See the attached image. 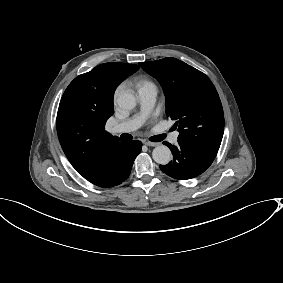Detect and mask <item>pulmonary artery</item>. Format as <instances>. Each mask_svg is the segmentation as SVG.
Returning a JSON list of instances; mask_svg holds the SVG:
<instances>
[{
	"label": "pulmonary artery",
	"instance_id": "obj_1",
	"mask_svg": "<svg viewBox=\"0 0 283 283\" xmlns=\"http://www.w3.org/2000/svg\"><path fill=\"white\" fill-rule=\"evenodd\" d=\"M137 99L140 105V112L114 126L109 131L113 134L129 133L139 128L143 122L149 117L156 99L157 88L154 85L141 88L137 92ZM179 132L169 131L166 139L169 142L177 143Z\"/></svg>",
	"mask_w": 283,
	"mask_h": 283
}]
</instances>
